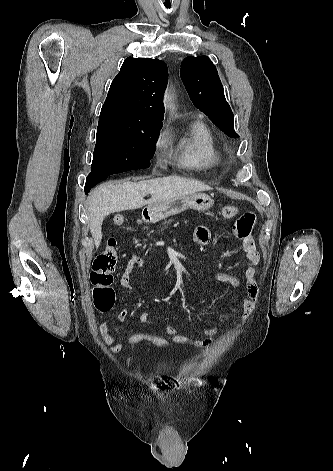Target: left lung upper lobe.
I'll return each mask as SVG.
<instances>
[{
	"label": "left lung upper lobe",
	"instance_id": "left-lung-upper-lobe-1",
	"mask_svg": "<svg viewBox=\"0 0 333 471\" xmlns=\"http://www.w3.org/2000/svg\"><path fill=\"white\" fill-rule=\"evenodd\" d=\"M180 76L194 106L229 137H239L234 130V116L227 103L214 64L207 56L186 57Z\"/></svg>",
	"mask_w": 333,
	"mask_h": 471
}]
</instances>
